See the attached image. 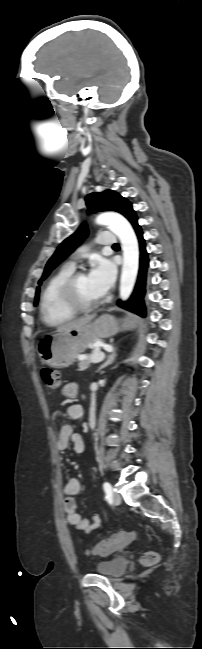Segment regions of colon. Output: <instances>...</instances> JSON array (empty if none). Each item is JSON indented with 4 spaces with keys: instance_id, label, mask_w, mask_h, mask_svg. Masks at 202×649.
<instances>
[{
    "instance_id": "5ec220e1",
    "label": "colon",
    "mask_w": 202,
    "mask_h": 649,
    "mask_svg": "<svg viewBox=\"0 0 202 649\" xmlns=\"http://www.w3.org/2000/svg\"><path fill=\"white\" fill-rule=\"evenodd\" d=\"M41 379L48 389H57L61 384L60 373L53 368L44 367L41 369ZM135 538V534L129 531H121L110 538L100 541L90 553L96 555H108L111 552L119 551L127 547ZM160 557L156 552L148 551L141 557V562L146 566H152L159 562Z\"/></svg>"
}]
</instances>
